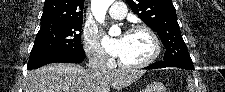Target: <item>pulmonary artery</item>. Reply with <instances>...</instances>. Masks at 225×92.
I'll use <instances>...</instances> for the list:
<instances>
[{
	"instance_id": "pulmonary-artery-1",
	"label": "pulmonary artery",
	"mask_w": 225,
	"mask_h": 92,
	"mask_svg": "<svg viewBox=\"0 0 225 92\" xmlns=\"http://www.w3.org/2000/svg\"><path fill=\"white\" fill-rule=\"evenodd\" d=\"M110 1V9H109V15L112 18L115 19H122L124 18V16L126 15L127 12V8L124 2H114L112 0H108Z\"/></svg>"
}]
</instances>
